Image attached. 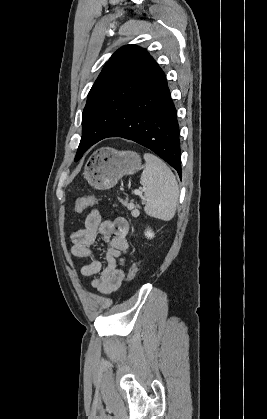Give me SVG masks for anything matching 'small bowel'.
Masks as SVG:
<instances>
[{
  "instance_id": "obj_1",
  "label": "small bowel",
  "mask_w": 267,
  "mask_h": 419,
  "mask_svg": "<svg viewBox=\"0 0 267 419\" xmlns=\"http://www.w3.org/2000/svg\"><path fill=\"white\" fill-rule=\"evenodd\" d=\"M129 231L130 226L125 218L103 221L99 210L93 209L86 216L84 227L71 235V253L78 258L94 256L92 246L98 236L108 242L105 266L98 260H92L80 268L82 276H93L91 286L103 294L117 291L124 279Z\"/></svg>"
}]
</instances>
